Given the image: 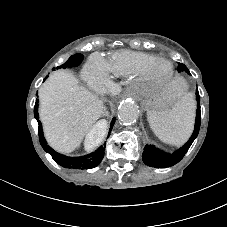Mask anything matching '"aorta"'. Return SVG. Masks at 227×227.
<instances>
[{
	"mask_svg": "<svg viewBox=\"0 0 227 227\" xmlns=\"http://www.w3.org/2000/svg\"><path fill=\"white\" fill-rule=\"evenodd\" d=\"M139 117L138 108L134 104H124L118 111V119L123 125H132L136 123Z\"/></svg>",
	"mask_w": 227,
	"mask_h": 227,
	"instance_id": "762f6f07",
	"label": "aorta"
}]
</instances>
